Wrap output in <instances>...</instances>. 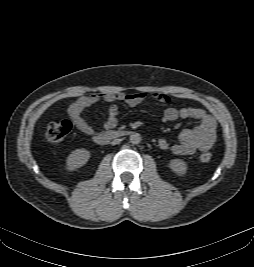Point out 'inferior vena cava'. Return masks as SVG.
Masks as SVG:
<instances>
[{
  "label": "inferior vena cava",
  "instance_id": "602c4592",
  "mask_svg": "<svg viewBox=\"0 0 254 267\" xmlns=\"http://www.w3.org/2000/svg\"><path fill=\"white\" fill-rule=\"evenodd\" d=\"M120 142V139H115L111 142L112 145H116Z\"/></svg>",
  "mask_w": 254,
  "mask_h": 267
}]
</instances>
